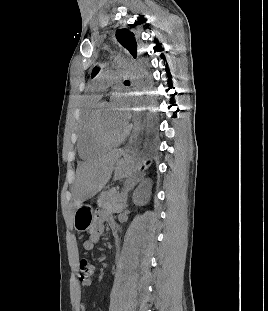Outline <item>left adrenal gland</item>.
I'll return each mask as SVG.
<instances>
[{
  "label": "left adrenal gland",
  "mask_w": 268,
  "mask_h": 311,
  "mask_svg": "<svg viewBox=\"0 0 268 311\" xmlns=\"http://www.w3.org/2000/svg\"><path fill=\"white\" fill-rule=\"evenodd\" d=\"M142 178H143V177H141V178H139V177H134L133 179H131V180H129V181L127 182L126 188H125V190H124V196L126 197V199H127V197H128V192H129L130 190H132V189L135 187V185H136L137 183H139V182L142 180ZM125 207H128V205L126 204Z\"/></svg>",
  "instance_id": "obj_1"
}]
</instances>
